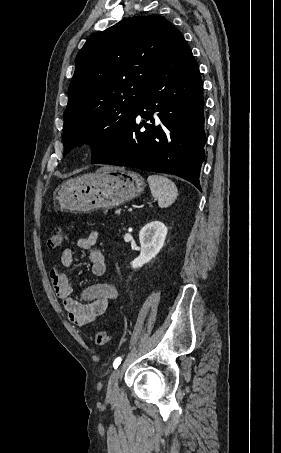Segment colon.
<instances>
[{
	"instance_id": "5ec220e1",
	"label": "colon",
	"mask_w": 281,
	"mask_h": 453,
	"mask_svg": "<svg viewBox=\"0 0 281 453\" xmlns=\"http://www.w3.org/2000/svg\"><path fill=\"white\" fill-rule=\"evenodd\" d=\"M64 232L61 228H55L51 233L50 249L57 251L63 246ZM111 336L107 331L94 334V344L98 348H103L110 343Z\"/></svg>"
}]
</instances>
